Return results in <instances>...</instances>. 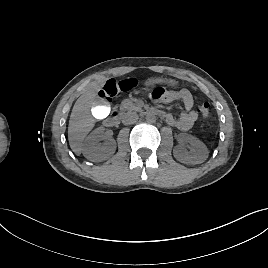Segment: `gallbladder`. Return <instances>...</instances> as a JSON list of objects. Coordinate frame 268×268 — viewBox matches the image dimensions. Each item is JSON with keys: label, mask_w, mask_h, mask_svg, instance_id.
Returning a JSON list of instances; mask_svg holds the SVG:
<instances>
[{"label": "gallbladder", "mask_w": 268, "mask_h": 268, "mask_svg": "<svg viewBox=\"0 0 268 268\" xmlns=\"http://www.w3.org/2000/svg\"><path fill=\"white\" fill-rule=\"evenodd\" d=\"M91 112L96 119L104 120L111 115L112 107L107 100L99 99L92 104Z\"/></svg>", "instance_id": "obj_1"}]
</instances>
